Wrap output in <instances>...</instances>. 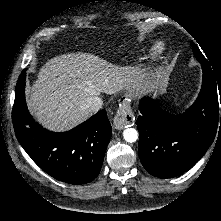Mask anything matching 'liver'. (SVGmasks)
Returning <instances> with one entry per match:
<instances>
[{"label":"liver","instance_id":"1","mask_svg":"<svg viewBox=\"0 0 221 221\" xmlns=\"http://www.w3.org/2000/svg\"><path fill=\"white\" fill-rule=\"evenodd\" d=\"M167 72L151 75L140 66L118 67L88 53L61 55L49 60L28 91V106L37 120L52 130H67L87 119V98L126 89L144 94L165 85Z\"/></svg>","mask_w":221,"mask_h":221}]
</instances>
